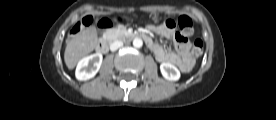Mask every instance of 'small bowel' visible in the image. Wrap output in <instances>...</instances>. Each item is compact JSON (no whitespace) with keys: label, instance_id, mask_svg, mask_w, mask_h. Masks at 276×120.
<instances>
[{"label":"small bowel","instance_id":"small-bowel-1","mask_svg":"<svg viewBox=\"0 0 276 120\" xmlns=\"http://www.w3.org/2000/svg\"><path fill=\"white\" fill-rule=\"evenodd\" d=\"M148 30L155 32L165 39L172 40L175 45V52L150 39L149 48L155 54L159 62H168L177 65L184 73L189 72L193 67V58L190 54V43L186 38L179 37L174 27L169 28L165 24L161 26L149 25Z\"/></svg>","mask_w":276,"mask_h":120}]
</instances>
